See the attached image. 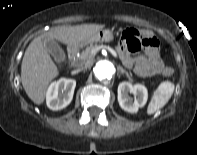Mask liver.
<instances>
[{
	"mask_svg": "<svg viewBox=\"0 0 197 155\" xmlns=\"http://www.w3.org/2000/svg\"><path fill=\"white\" fill-rule=\"evenodd\" d=\"M103 27L104 25L98 24L61 26L43 33L29 44L21 64V82L28 97L35 104L44 102L49 83L59 73L43 41L56 39L68 46H76Z\"/></svg>",
	"mask_w": 197,
	"mask_h": 155,
	"instance_id": "obj_1",
	"label": "liver"
}]
</instances>
